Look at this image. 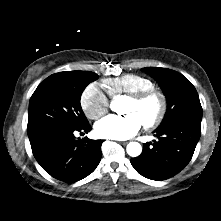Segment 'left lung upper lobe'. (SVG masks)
Returning <instances> with one entry per match:
<instances>
[{"mask_svg":"<svg viewBox=\"0 0 221 221\" xmlns=\"http://www.w3.org/2000/svg\"><path fill=\"white\" fill-rule=\"evenodd\" d=\"M157 80L167 98V111L159 127L179 118L201 121L202 107L195 87L182 74L166 68L142 69Z\"/></svg>","mask_w":221,"mask_h":221,"instance_id":"obj_1","label":"left lung upper lobe"}]
</instances>
